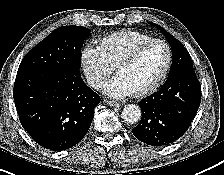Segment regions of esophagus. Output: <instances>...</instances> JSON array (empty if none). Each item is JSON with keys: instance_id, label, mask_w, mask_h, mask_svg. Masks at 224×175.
Returning <instances> with one entry per match:
<instances>
[{"instance_id": "1", "label": "esophagus", "mask_w": 224, "mask_h": 175, "mask_svg": "<svg viewBox=\"0 0 224 175\" xmlns=\"http://www.w3.org/2000/svg\"><path fill=\"white\" fill-rule=\"evenodd\" d=\"M106 103H107V105L112 106V107H120L121 106L120 102H116V101H112V100H107Z\"/></svg>"}]
</instances>
